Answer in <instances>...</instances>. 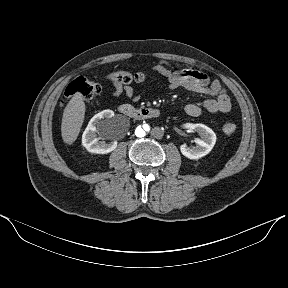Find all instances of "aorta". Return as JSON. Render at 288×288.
Masks as SVG:
<instances>
[{
  "mask_svg": "<svg viewBox=\"0 0 288 288\" xmlns=\"http://www.w3.org/2000/svg\"><path fill=\"white\" fill-rule=\"evenodd\" d=\"M148 133H149V128L145 124H140L136 126L134 129V134L138 138H144L148 135Z\"/></svg>",
  "mask_w": 288,
  "mask_h": 288,
  "instance_id": "1",
  "label": "aorta"
}]
</instances>
